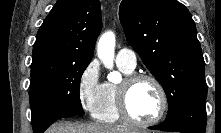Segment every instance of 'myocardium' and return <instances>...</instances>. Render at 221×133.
<instances>
[{"instance_id":"myocardium-1","label":"myocardium","mask_w":221,"mask_h":133,"mask_svg":"<svg viewBox=\"0 0 221 133\" xmlns=\"http://www.w3.org/2000/svg\"><path fill=\"white\" fill-rule=\"evenodd\" d=\"M144 80L150 81L155 85V87L158 90L161 101L160 109L157 115L153 119L148 121H140L134 118L130 112L128 104L130 90L136 83ZM117 103L121 118L124 121L138 127H150L159 123L168 109V98L163 84L155 76L143 73L131 74L124 78L122 83L118 86Z\"/></svg>"}]
</instances>
